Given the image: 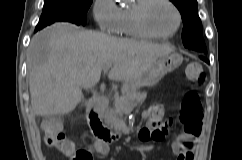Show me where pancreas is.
I'll use <instances>...</instances> for the list:
<instances>
[{
  "label": "pancreas",
  "mask_w": 242,
  "mask_h": 160,
  "mask_svg": "<svg viewBox=\"0 0 242 160\" xmlns=\"http://www.w3.org/2000/svg\"><path fill=\"white\" fill-rule=\"evenodd\" d=\"M147 97L146 92L132 91L124 95L114 96V104L105 110L103 119L107 125L116 132L126 128L123 115L126 110L132 109L134 106L141 104Z\"/></svg>",
  "instance_id": "obj_1"
}]
</instances>
